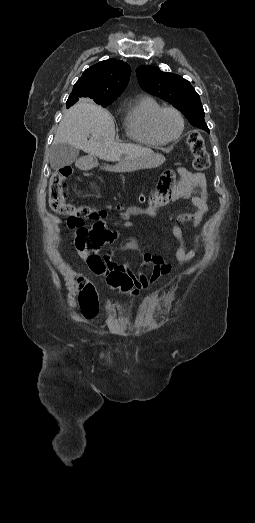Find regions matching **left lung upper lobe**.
Wrapping results in <instances>:
<instances>
[{"label":"left lung upper lobe","mask_w":255,"mask_h":523,"mask_svg":"<svg viewBox=\"0 0 255 523\" xmlns=\"http://www.w3.org/2000/svg\"><path fill=\"white\" fill-rule=\"evenodd\" d=\"M136 74L143 90L169 102L180 110L193 126L209 133L200 97L189 81L151 66L138 67Z\"/></svg>","instance_id":"obj_1"}]
</instances>
